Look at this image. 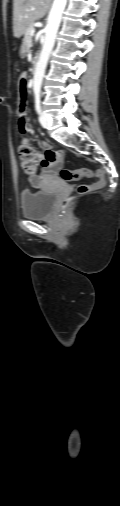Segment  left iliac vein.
<instances>
[{
    "label": "left iliac vein",
    "instance_id": "4c4485c4",
    "mask_svg": "<svg viewBox=\"0 0 120 506\" xmlns=\"http://www.w3.org/2000/svg\"><path fill=\"white\" fill-rule=\"evenodd\" d=\"M39 120L44 128H47L49 126V118L45 114H41Z\"/></svg>",
    "mask_w": 120,
    "mask_h": 506
}]
</instances>
